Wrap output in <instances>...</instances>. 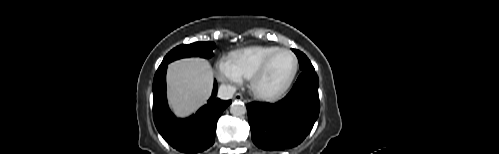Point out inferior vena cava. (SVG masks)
<instances>
[{"instance_id": "602c4592", "label": "inferior vena cava", "mask_w": 499, "mask_h": 154, "mask_svg": "<svg viewBox=\"0 0 499 154\" xmlns=\"http://www.w3.org/2000/svg\"><path fill=\"white\" fill-rule=\"evenodd\" d=\"M236 92V88L229 84H222L218 89V97L223 100L231 99Z\"/></svg>"}]
</instances>
